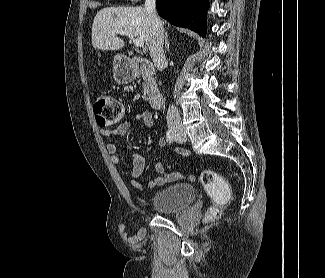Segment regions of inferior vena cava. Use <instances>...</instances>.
I'll return each mask as SVG.
<instances>
[{
	"label": "inferior vena cava",
	"instance_id": "inferior-vena-cava-1",
	"mask_svg": "<svg viewBox=\"0 0 325 278\" xmlns=\"http://www.w3.org/2000/svg\"><path fill=\"white\" fill-rule=\"evenodd\" d=\"M145 9L149 15L152 26V36L149 46V51L154 65L157 69L162 70L167 65V60L163 50L164 44V29L156 13V1L146 0ZM168 123H181V117L174 105H170L167 111Z\"/></svg>",
	"mask_w": 325,
	"mask_h": 278
}]
</instances>
